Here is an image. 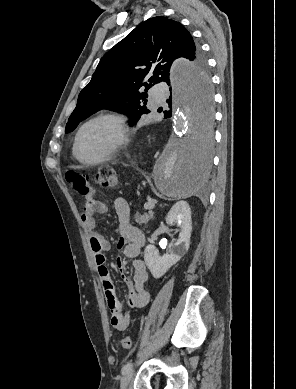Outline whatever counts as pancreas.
Returning <instances> with one entry per match:
<instances>
[{
	"mask_svg": "<svg viewBox=\"0 0 296 389\" xmlns=\"http://www.w3.org/2000/svg\"><path fill=\"white\" fill-rule=\"evenodd\" d=\"M153 218V212L150 211L148 213H144V214H135L134 216V219H135V222L139 225H142V224H147L149 222L150 219Z\"/></svg>",
	"mask_w": 296,
	"mask_h": 389,
	"instance_id": "1",
	"label": "pancreas"
}]
</instances>
